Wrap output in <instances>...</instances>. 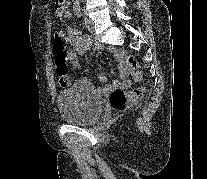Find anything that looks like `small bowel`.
<instances>
[{
	"label": "small bowel",
	"mask_w": 207,
	"mask_h": 179,
	"mask_svg": "<svg viewBox=\"0 0 207 179\" xmlns=\"http://www.w3.org/2000/svg\"><path fill=\"white\" fill-rule=\"evenodd\" d=\"M71 17L72 14L69 11H65L62 16L63 19H70ZM54 37L65 40L73 47V50L67 52V57L72 67L78 68L80 64L77 55H83L89 52L91 40L87 37H83L80 34L79 30L75 28H70L68 30H58L55 32ZM99 47L101 48V46ZM111 52L118 64L119 80H113L111 82H108L107 76L105 74H100L98 76V81L100 83V91L103 93L109 92L115 87H128L130 85V71L125 62L126 54L124 53V51L116 48H111Z\"/></svg>",
	"instance_id": "c3829d8e"
}]
</instances>
